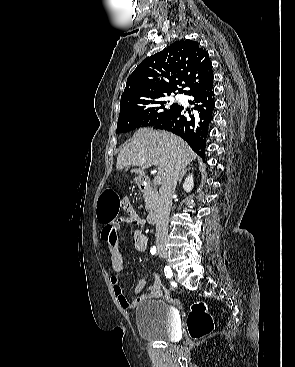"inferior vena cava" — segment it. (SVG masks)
Wrapping results in <instances>:
<instances>
[{"mask_svg":"<svg viewBox=\"0 0 295 367\" xmlns=\"http://www.w3.org/2000/svg\"><path fill=\"white\" fill-rule=\"evenodd\" d=\"M182 166L173 165L166 177L163 179L159 190L157 222H156V245L162 246L167 241L169 214L172 205V196L179 180Z\"/></svg>","mask_w":295,"mask_h":367,"instance_id":"1","label":"inferior vena cava"}]
</instances>
